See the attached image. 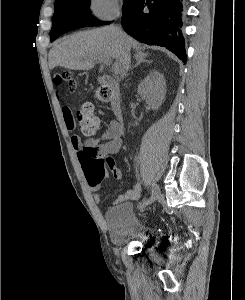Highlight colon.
Masks as SVG:
<instances>
[{"label":"colon","mask_w":245,"mask_h":300,"mask_svg":"<svg viewBox=\"0 0 245 300\" xmlns=\"http://www.w3.org/2000/svg\"><path fill=\"white\" fill-rule=\"evenodd\" d=\"M56 87L66 84L68 90L73 92L77 87V81L69 71L58 72L53 78ZM112 92L108 87L102 86L96 91L98 100L106 102L111 99ZM81 131L85 136H94L99 127V120L94 113L93 105L90 103L83 104L76 113ZM82 168L88 182L96 186L104 176V160L97 157L95 149H87L82 152Z\"/></svg>","instance_id":"colon-1"}]
</instances>
